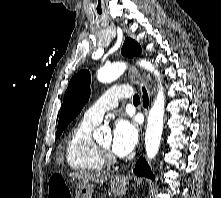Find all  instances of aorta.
<instances>
[{"label": "aorta", "mask_w": 221, "mask_h": 198, "mask_svg": "<svg viewBox=\"0 0 221 198\" xmlns=\"http://www.w3.org/2000/svg\"><path fill=\"white\" fill-rule=\"evenodd\" d=\"M139 65L144 69L152 72L160 85L156 99L149 111L147 118V128L145 133V150L147 159L150 161L154 159L158 153L161 135L163 130L164 112H165V96L164 89L160 81V73L155 66L147 60H141ZM126 69L125 63H114L110 66L103 67L97 72V79L101 83H110L116 80Z\"/></svg>", "instance_id": "762f6f07"}]
</instances>
